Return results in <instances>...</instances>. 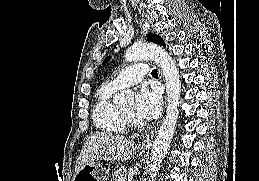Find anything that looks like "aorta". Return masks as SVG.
<instances>
[{
  "mask_svg": "<svg viewBox=\"0 0 259 181\" xmlns=\"http://www.w3.org/2000/svg\"><path fill=\"white\" fill-rule=\"evenodd\" d=\"M147 58L154 60L161 67L167 91L166 116L158 130L151 151L149 181H154L175 132L179 114L181 82L175 62L163 48L151 43H136L125 53V60L129 62ZM133 100L134 93L131 90H123L114 98V102L118 105H125Z\"/></svg>",
  "mask_w": 259,
  "mask_h": 181,
  "instance_id": "obj_1",
  "label": "aorta"
}]
</instances>
